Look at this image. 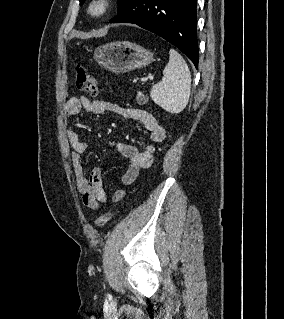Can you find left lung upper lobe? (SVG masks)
I'll return each mask as SVG.
<instances>
[{
  "label": "left lung upper lobe",
  "mask_w": 284,
  "mask_h": 319,
  "mask_svg": "<svg viewBox=\"0 0 284 319\" xmlns=\"http://www.w3.org/2000/svg\"><path fill=\"white\" fill-rule=\"evenodd\" d=\"M79 1H80V5H82L85 0H79ZM129 1L130 0H118V3H119L118 12H120Z\"/></svg>",
  "instance_id": "1"
}]
</instances>
